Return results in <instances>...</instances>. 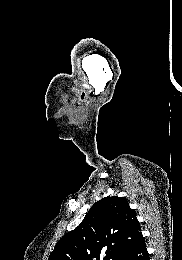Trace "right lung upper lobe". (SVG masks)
<instances>
[{"label": "right lung upper lobe", "instance_id": "right-lung-upper-lobe-1", "mask_svg": "<svg viewBox=\"0 0 182 260\" xmlns=\"http://www.w3.org/2000/svg\"><path fill=\"white\" fill-rule=\"evenodd\" d=\"M142 241L139 222L127 201L107 196L57 242L48 260H119Z\"/></svg>", "mask_w": 182, "mask_h": 260}]
</instances>
